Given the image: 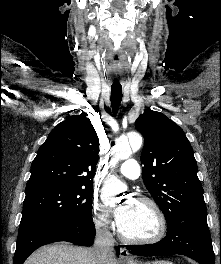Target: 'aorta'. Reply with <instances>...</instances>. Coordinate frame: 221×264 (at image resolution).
Here are the masks:
<instances>
[{
  "label": "aorta",
  "instance_id": "1",
  "mask_svg": "<svg viewBox=\"0 0 221 264\" xmlns=\"http://www.w3.org/2000/svg\"><path fill=\"white\" fill-rule=\"evenodd\" d=\"M142 137L133 133L129 136V139L122 138L118 140L113 151V158L111 163L115 165L118 161L128 159L133 151H137L141 148ZM125 189V185L120 182L115 176H109L103 185L104 196H115Z\"/></svg>",
  "mask_w": 221,
  "mask_h": 264
}]
</instances>
